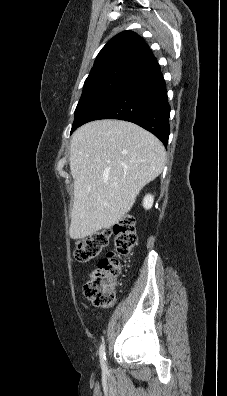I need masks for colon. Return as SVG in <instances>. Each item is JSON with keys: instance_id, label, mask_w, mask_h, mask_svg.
Segmentation results:
<instances>
[{"instance_id": "1", "label": "colon", "mask_w": 227, "mask_h": 396, "mask_svg": "<svg viewBox=\"0 0 227 396\" xmlns=\"http://www.w3.org/2000/svg\"><path fill=\"white\" fill-rule=\"evenodd\" d=\"M114 235L115 250L102 258L98 267L88 275L84 285L86 297L96 306L109 308L115 301V285L121 273L119 256L128 255L136 244L134 219H121L110 231H100L79 241L75 248V258L80 262L89 261L108 246L110 234Z\"/></svg>"}]
</instances>
